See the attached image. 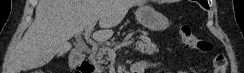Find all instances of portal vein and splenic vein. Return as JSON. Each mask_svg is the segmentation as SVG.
<instances>
[{
    "label": "portal vein and splenic vein",
    "mask_w": 244,
    "mask_h": 73,
    "mask_svg": "<svg viewBox=\"0 0 244 73\" xmlns=\"http://www.w3.org/2000/svg\"><path fill=\"white\" fill-rule=\"evenodd\" d=\"M95 27V23H91L89 24L86 28H85V33H84V36H85V39L86 41L92 45L93 48L97 49L98 48V43H96L95 41L91 40L90 39V33L91 31L93 30V28ZM132 44L131 41H126V42H123L121 44H119L118 46H116L115 48L113 49H110V48H107V53L109 56H112V55H115V51L117 49H120L122 47H126V46H130Z\"/></svg>",
    "instance_id": "18ae733b"
}]
</instances>
